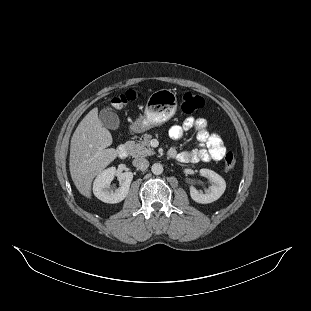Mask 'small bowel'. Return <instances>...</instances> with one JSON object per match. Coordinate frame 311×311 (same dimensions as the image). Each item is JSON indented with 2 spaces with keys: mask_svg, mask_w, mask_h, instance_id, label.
<instances>
[{
  "mask_svg": "<svg viewBox=\"0 0 311 311\" xmlns=\"http://www.w3.org/2000/svg\"><path fill=\"white\" fill-rule=\"evenodd\" d=\"M207 126L205 119L194 117L186 118L182 124L173 125L169 130V136L173 140H179L186 132L194 130L200 148L182 152H177L172 148L169 155L184 164L220 161L226 153V148L221 137L218 134L210 133Z\"/></svg>",
  "mask_w": 311,
  "mask_h": 311,
  "instance_id": "c3829d8e",
  "label": "small bowel"
}]
</instances>
